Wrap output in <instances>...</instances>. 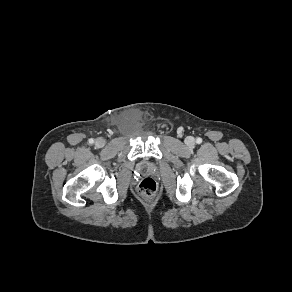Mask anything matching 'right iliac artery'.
<instances>
[{
  "label": "right iliac artery",
  "instance_id": "right-iliac-artery-1",
  "mask_svg": "<svg viewBox=\"0 0 292 292\" xmlns=\"http://www.w3.org/2000/svg\"><path fill=\"white\" fill-rule=\"evenodd\" d=\"M89 143L90 144H93L94 143V140L91 138V139H89Z\"/></svg>",
  "mask_w": 292,
  "mask_h": 292
}]
</instances>
